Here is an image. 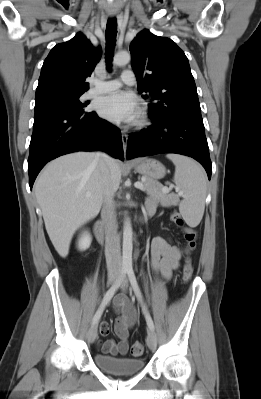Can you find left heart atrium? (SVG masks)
I'll use <instances>...</instances> for the list:
<instances>
[{
  "instance_id": "obj_1",
  "label": "left heart atrium",
  "mask_w": 261,
  "mask_h": 399,
  "mask_svg": "<svg viewBox=\"0 0 261 399\" xmlns=\"http://www.w3.org/2000/svg\"><path fill=\"white\" fill-rule=\"evenodd\" d=\"M97 109L102 117L113 122H132L139 116L133 96L123 91L100 98Z\"/></svg>"
}]
</instances>
